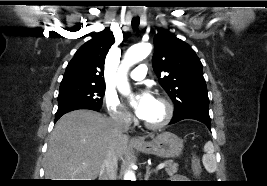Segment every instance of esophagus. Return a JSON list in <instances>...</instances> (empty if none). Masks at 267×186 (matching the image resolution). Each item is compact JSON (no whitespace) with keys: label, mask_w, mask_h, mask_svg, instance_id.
Wrapping results in <instances>:
<instances>
[{"label":"esophagus","mask_w":267,"mask_h":186,"mask_svg":"<svg viewBox=\"0 0 267 186\" xmlns=\"http://www.w3.org/2000/svg\"><path fill=\"white\" fill-rule=\"evenodd\" d=\"M131 142H132L133 144H141L143 141H142L139 137H133V138L131 139Z\"/></svg>","instance_id":"obj_1"}]
</instances>
